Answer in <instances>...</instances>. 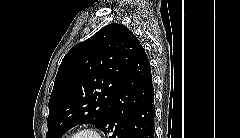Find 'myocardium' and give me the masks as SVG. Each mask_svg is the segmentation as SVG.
Segmentation results:
<instances>
[{
    "mask_svg": "<svg viewBox=\"0 0 240 138\" xmlns=\"http://www.w3.org/2000/svg\"><path fill=\"white\" fill-rule=\"evenodd\" d=\"M84 134H89L91 138H102L100 132L92 127H85L80 130H78L72 138H79Z\"/></svg>",
    "mask_w": 240,
    "mask_h": 138,
    "instance_id": "1",
    "label": "myocardium"
}]
</instances>
